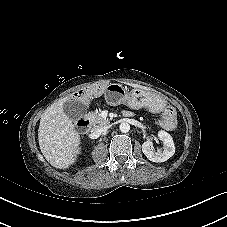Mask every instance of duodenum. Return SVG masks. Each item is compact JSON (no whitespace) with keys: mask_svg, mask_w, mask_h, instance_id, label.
Here are the masks:
<instances>
[{"mask_svg":"<svg viewBox=\"0 0 227 227\" xmlns=\"http://www.w3.org/2000/svg\"><path fill=\"white\" fill-rule=\"evenodd\" d=\"M77 129L82 133H87L90 129V122L87 119H80L76 123Z\"/></svg>","mask_w":227,"mask_h":227,"instance_id":"410a0bca","label":"duodenum"}]
</instances>
